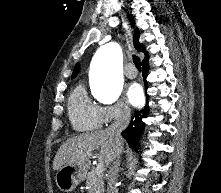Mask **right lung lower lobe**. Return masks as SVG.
<instances>
[{"mask_svg":"<svg viewBox=\"0 0 221 193\" xmlns=\"http://www.w3.org/2000/svg\"><path fill=\"white\" fill-rule=\"evenodd\" d=\"M148 64L147 62L142 63V72L144 80L147 77ZM146 89L148 88L147 82H145ZM148 103V101H147ZM149 113L148 104L140 111H136L133 118L130 121L129 126L121 133L122 136L127 140L130 147H138L139 137L144 129V123L142 118H146Z\"/></svg>","mask_w":221,"mask_h":193,"instance_id":"right-lung-lower-lobe-1","label":"right lung lower lobe"}]
</instances>
